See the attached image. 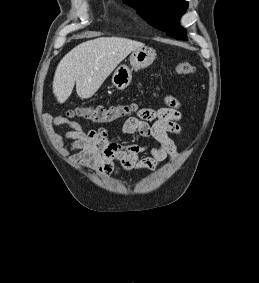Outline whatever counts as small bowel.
<instances>
[{
  "label": "small bowel",
  "mask_w": 259,
  "mask_h": 283,
  "mask_svg": "<svg viewBox=\"0 0 259 283\" xmlns=\"http://www.w3.org/2000/svg\"><path fill=\"white\" fill-rule=\"evenodd\" d=\"M163 100L164 107L142 108L122 124L123 135L138 133L151 139L150 145L118 143L109 138L104 128L85 130L79 123L63 116L53 118L52 125L56 128H68L67 132L57 137L68 141L64 152L77 150L68 156L71 164L89 168L103 175L134 169L151 170L164 161L174 160L178 155L170 134H180L182 131L179 124L180 103L170 95L165 96ZM145 153L147 156L141 158ZM116 161L119 165H115Z\"/></svg>",
  "instance_id": "c3829d8e"
}]
</instances>
